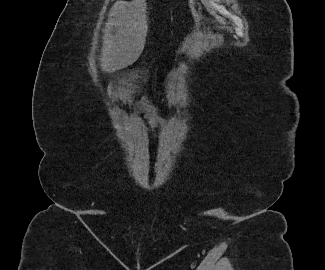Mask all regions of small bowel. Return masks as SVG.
I'll use <instances>...</instances> for the list:
<instances>
[{"mask_svg":"<svg viewBox=\"0 0 325 270\" xmlns=\"http://www.w3.org/2000/svg\"><path fill=\"white\" fill-rule=\"evenodd\" d=\"M168 102L173 103L174 101L170 99ZM142 109L145 113V117L149 125L155 128H162L164 126V117L154 106L151 105L150 102H145L142 105Z\"/></svg>","mask_w":325,"mask_h":270,"instance_id":"small-bowel-1","label":"small bowel"}]
</instances>
